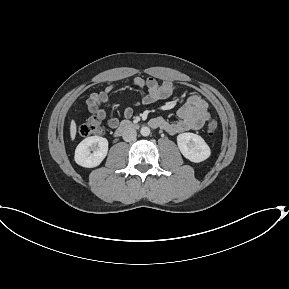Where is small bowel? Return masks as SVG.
I'll use <instances>...</instances> for the list:
<instances>
[{
    "label": "small bowel",
    "mask_w": 289,
    "mask_h": 289,
    "mask_svg": "<svg viewBox=\"0 0 289 289\" xmlns=\"http://www.w3.org/2000/svg\"><path fill=\"white\" fill-rule=\"evenodd\" d=\"M132 84L138 89H147V94L139 101H133V106L150 105L157 101L166 100L173 92V84L170 81L158 82L150 77L143 79L136 77L132 80ZM114 91L112 85L107 86L104 90L93 93L87 99V108L91 114L100 120L106 119V112L103 105L110 102V95ZM134 114L132 106L124 109L123 115L125 118H131ZM210 114L208 111V102L198 94H193L188 97L186 103L180 107L177 113V120L168 121L161 117L154 118L158 123V128L166 131L170 135H177L186 131L199 130ZM119 124L117 118L111 117L107 119V125L110 128H116Z\"/></svg>",
    "instance_id": "c3829d8e"
}]
</instances>
